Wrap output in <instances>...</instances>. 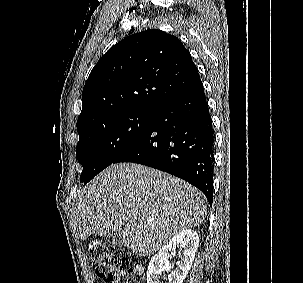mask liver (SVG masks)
Segmentation results:
<instances>
[{
	"mask_svg": "<svg viewBox=\"0 0 303 283\" xmlns=\"http://www.w3.org/2000/svg\"><path fill=\"white\" fill-rule=\"evenodd\" d=\"M73 223L81 240L91 234L122 232L135 254L157 252L173 235L201 224L206 198L201 191L165 172L139 164H113L75 192Z\"/></svg>",
	"mask_w": 303,
	"mask_h": 283,
	"instance_id": "1",
	"label": "liver"
}]
</instances>
